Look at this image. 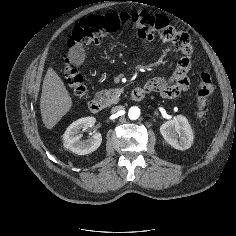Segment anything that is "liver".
<instances>
[{
	"instance_id": "liver-1",
	"label": "liver",
	"mask_w": 236,
	"mask_h": 236,
	"mask_svg": "<svg viewBox=\"0 0 236 236\" xmlns=\"http://www.w3.org/2000/svg\"><path fill=\"white\" fill-rule=\"evenodd\" d=\"M72 107V99L62 79L49 67L43 80L40 99L42 121L52 129Z\"/></svg>"
}]
</instances>
